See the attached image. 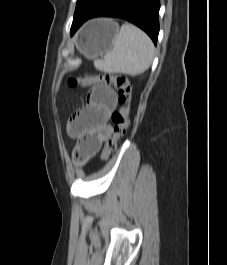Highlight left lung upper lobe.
I'll list each match as a JSON object with an SVG mask.
<instances>
[{
	"label": "left lung upper lobe",
	"mask_w": 227,
	"mask_h": 265,
	"mask_svg": "<svg viewBox=\"0 0 227 265\" xmlns=\"http://www.w3.org/2000/svg\"><path fill=\"white\" fill-rule=\"evenodd\" d=\"M105 0H77L72 25L89 17Z\"/></svg>",
	"instance_id": "5c2ea615"
}]
</instances>
